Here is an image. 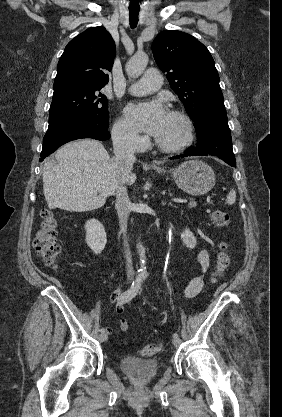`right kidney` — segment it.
Masks as SVG:
<instances>
[{
  "mask_svg": "<svg viewBox=\"0 0 282 417\" xmlns=\"http://www.w3.org/2000/svg\"><path fill=\"white\" fill-rule=\"evenodd\" d=\"M86 243L92 249L94 255H100L105 249L107 237L105 229L97 219H90L85 225Z\"/></svg>",
  "mask_w": 282,
  "mask_h": 417,
  "instance_id": "1",
  "label": "right kidney"
}]
</instances>
